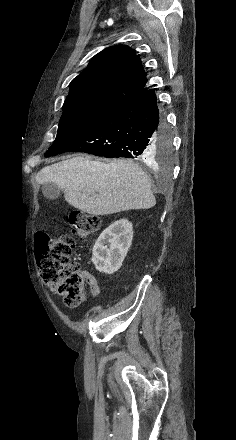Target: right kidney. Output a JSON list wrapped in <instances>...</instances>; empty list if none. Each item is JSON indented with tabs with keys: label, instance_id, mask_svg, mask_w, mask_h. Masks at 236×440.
I'll list each match as a JSON object with an SVG mask.
<instances>
[{
	"label": "right kidney",
	"instance_id": "ca27d5eb",
	"mask_svg": "<svg viewBox=\"0 0 236 440\" xmlns=\"http://www.w3.org/2000/svg\"><path fill=\"white\" fill-rule=\"evenodd\" d=\"M133 239L132 223L120 219L112 223L98 237L92 262L95 268L106 274L118 271L127 255Z\"/></svg>",
	"mask_w": 236,
	"mask_h": 440
}]
</instances>
